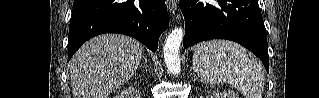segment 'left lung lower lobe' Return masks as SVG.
<instances>
[{
	"instance_id": "1",
	"label": "left lung lower lobe",
	"mask_w": 319,
	"mask_h": 98,
	"mask_svg": "<svg viewBox=\"0 0 319 98\" xmlns=\"http://www.w3.org/2000/svg\"><path fill=\"white\" fill-rule=\"evenodd\" d=\"M185 48L210 39L235 41L263 62L269 72L267 35L257 0H181Z\"/></svg>"
}]
</instances>
